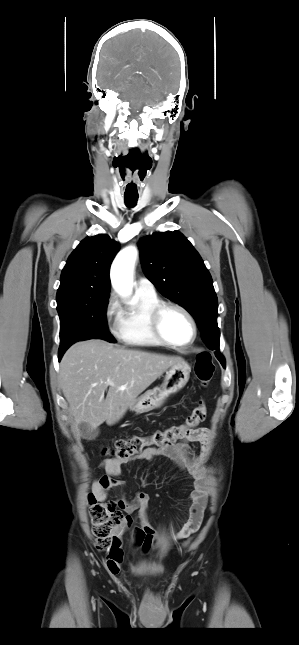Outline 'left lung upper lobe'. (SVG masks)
Returning <instances> with one entry per match:
<instances>
[{
    "label": "left lung upper lobe",
    "mask_w": 299,
    "mask_h": 645,
    "mask_svg": "<svg viewBox=\"0 0 299 645\" xmlns=\"http://www.w3.org/2000/svg\"><path fill=\"white\" fill-rule=\"evenodd\" d=\"M146 277L168 299L183 306L196 320L202 338L223 367L217 326L218 301L203 260L179 231L156 232L139 241Z\"/></svg>",
    "instance_id": "5c2ea615"
}]
</instances>
